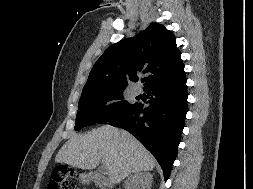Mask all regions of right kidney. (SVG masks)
<instances>
[{
    "mask_svg": "<svg viewBox=\"0 0 253 189\" xmlns=\"http://www.w3.org/2000/svg\"><path fill=\"white\" fill-rule=\"evenodd\" d=\"M152 181L150 173H136L126 181V189H151Z\"/></svg>",
    "mask_w": 253,
    "mask_h": 189,
    "instance_id": "ca27d5eb",
    "label": "right kidney"
}]
</instances>
